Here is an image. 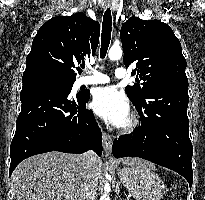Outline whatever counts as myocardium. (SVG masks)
<instances>
[{
	"instance_id": "myocardium-1",
	"label": "myocardium",
	"mask_w": 205,
	"mask_h": 200,
	"mask_svg": "<svg viewBox=\"0 0 205 200\" xmlns=\"http://www.w3.org/2000/svg\"><path fill=\"white\" fill-rule=\"evenodd\" d=\"M139 125L140 121L138 117L135 114H131L126 123L120 127L119 131L121 134L125 135L132 134L138 129Z\"/></svg>"
}]
</instances>
